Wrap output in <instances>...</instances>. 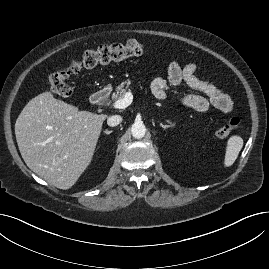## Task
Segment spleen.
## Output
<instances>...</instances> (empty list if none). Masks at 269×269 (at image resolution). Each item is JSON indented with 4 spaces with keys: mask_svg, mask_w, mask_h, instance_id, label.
Returning a JSON list of instances; mask_svg holds the SVG:
<instances>
[{
    "mask_svg": "<svg viewBox=\"0 0 269 269\" xmlns=\"http://www.w3.org/2000/svg\"><path fill=\"white\" fill-rule=\"evenodd\" d=\"M243 147V139L240 136H231L227 141L224 166L230 167L237 159Z\"/></svg>",
    "mask_w": 269,
    "mask_h": 269,
    "instance_id": "3e777b00",
    "label": "spleen"
}]
</instances>
